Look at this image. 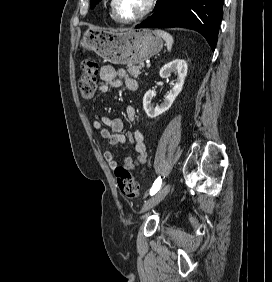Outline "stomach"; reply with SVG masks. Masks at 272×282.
Listing matches in <instances>:
<instances>
[{
	"mask_svg": "<svg viewBox=\"0 0 272 282\" xmlns=\"http://www.w3.org/2000/svg\"><path fill=\"white\" fill-rule=\"evenodd\" d=\"M80 46L83 51L92 50L110 63L136 65L159 53L163 41L150 29H89L84 33Z\"/></svg>",
	"mask_w": 272,
	"mask_h": 282,
	"instance_id": "stomach-1",
	"label": "stomach"
}]
</instances>
